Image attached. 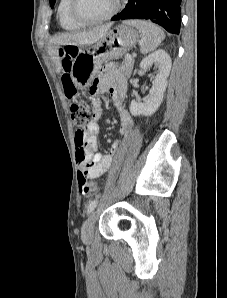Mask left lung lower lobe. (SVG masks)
I'll use <instances>...</instances> for the list:
<instances>
[{
	"label": "left lung lower lobe",
	"mask_w": 227,
	"mask_h": 298,
	"mask_svg": "<svg viewBox=\"0 0 227 298\" xmlns=\"http://www.w3.org/2000/svg\"><path fill=\"white\" fill-rule=\"evenodd\" d=\"M181 0H128L121 13L112 21L146 19L159 24L168 32L179 34L181 22Z\"/></svg>",
	"instance_id": "1"
}]
</instances>
